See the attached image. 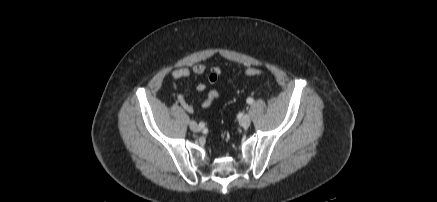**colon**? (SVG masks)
Listing matches in <instances>:
<instances>
[{
  "instance_id": "5ec220e1",
  "label": "colon",
  "mask_w": 437,
  "mask_h": 202,
  "mask_svg": "<svg viewBox=\"0 0 437 202\" xmlns=\"http://www.w3.org/2000/svg\"><path fill=\"white\" fill-rule=\"evenodd\" d=\"M244 74L249 77H256L262 74V71L258 68H247Z\"/></svg>"
}]
</instances>
